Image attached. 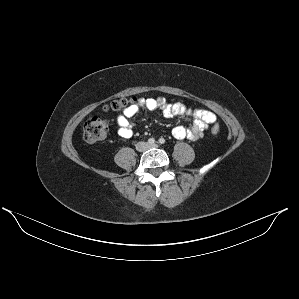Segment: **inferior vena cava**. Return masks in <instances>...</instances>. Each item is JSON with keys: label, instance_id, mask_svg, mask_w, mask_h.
Segmentation results:
<instances>
[{"label": "inferior vena cava", "instance_id": "obj_1", "mask_svg": "<svg viewBox=\"0 0 299 299\" xmlns=\"http://www.w3.org/2000/svg\"><path fill=\"white\" fill-rule=\"evenodd\" d=\"M148 147V145L147 144H145V148H147Z\"/></svg>", "mask_w": 299, "mask_h": 299}]
</instances>
